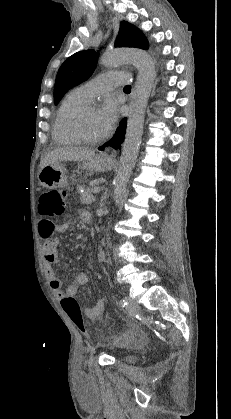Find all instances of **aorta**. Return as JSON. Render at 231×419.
I'll use <instances>...</instances> for the list:
<instances>
[{"label":"aorta","instance_id":"1","mask_svg":"<svg viewBox=\"0 0 231 419\" xmlns=\"http://www.w3.org/2000/svg\"><path fill=\"white\" fill-rule=\"evenodd\" d=\"M126 62L136 67L137 78L130 97L126 135L114 181V195L119 194L126 186L135 166L142 140L145 111L156 78L155 63L145 51L116 49L105 53L101 58L102 65L107 67H115Z\"/></svg>","mask_w":231,"mask_h":419}]
</instances>
